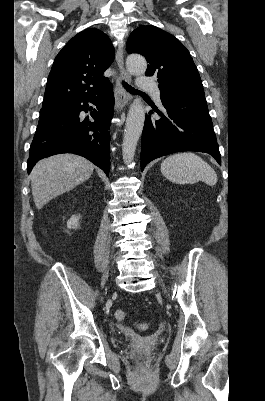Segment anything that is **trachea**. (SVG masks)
Instances as JSON below:
<instances>
[{
	"mask_svg": "<svg viewBox=\"0 0 265 401\" xmlns=\"http://www.w3.org/2000/svg\"><path fill=\"white\" fill-rule=\"evenodd\" d=\"M122 84H123V87L127 90V92H129V93H133V94H136V93H143V92H141L140 90H136V88H133L131 85H128V83H126L125 81L124 82H122Z\"/></svg>",
	"mask_w": 265,
	"mask_h": 401,
	"instance_id": "trachea-1",
	"label": "trachea"
}]
</instances>
